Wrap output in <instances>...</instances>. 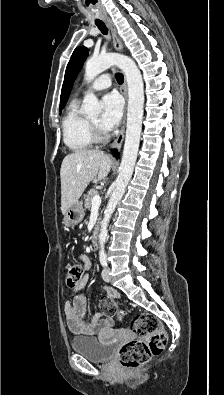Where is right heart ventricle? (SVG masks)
Returning a JSON list of instances; mask_svg holds the SVG:
<instances>
[{
	"mask_svg": "<svg viewBox=\"0 0 224 395\" xmlns=\"http://www.w3.org/2000/svg\"><path fill=\"white\" fill-rule=\"evenodd\" d=\"M62 128L64 142L73 151H84L94 142L90 120L81 113L77 100L68 106Z\"/></svg>",
	"mask_w": 224,
	"mask_h": 395,
	"instance_id": "1",
	"label": "right heart ventricle"
}]
</instances>
